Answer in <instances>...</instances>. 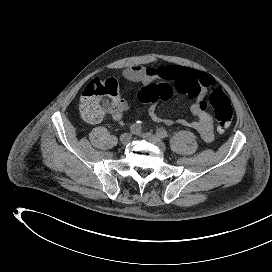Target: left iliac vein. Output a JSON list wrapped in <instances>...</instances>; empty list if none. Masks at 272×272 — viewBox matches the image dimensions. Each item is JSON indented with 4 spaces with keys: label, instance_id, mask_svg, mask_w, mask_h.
<instances>
[{
    "label": "left iliac vein",
    "instance_id": "4c4485c4",
    "mask_svg": "<svg viewBox=\"0 0 272 272\" xmlns=\"http://www.w3.org/2000/svg\"><path fill=\"white\" fill-rule=\"evenodd\" d=\"M142 136L150 143L156 145L161 151L166 150L165 143L158 136L151 133H144Z\"/></svg>",
    "mask_w": 272,
    "mask_h": 272
}]
</instances>
